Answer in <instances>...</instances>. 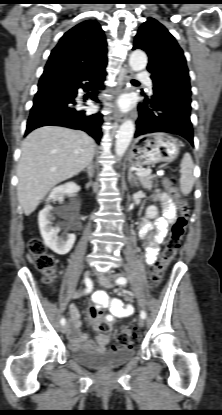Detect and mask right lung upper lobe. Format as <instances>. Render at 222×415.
Segmentation results:
<instances>
[{
    "label": "right lung upper lobe",
    "instance_id": "obj_1",
    "mask_svg": "<svg viewBox=\"0 0 222 415\" xmlns=\"http://www.w3.org/2000/svg\"><path fill=\"white\" fill-rule=\"evenodd\" d=\"M107 43L100 25L93 20L77 24L60 39L45 67L87 73L107 64Z\"/></svg>",
    "mask_w": 222,
    "mask_h": 415
}]
</instances>
